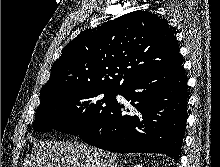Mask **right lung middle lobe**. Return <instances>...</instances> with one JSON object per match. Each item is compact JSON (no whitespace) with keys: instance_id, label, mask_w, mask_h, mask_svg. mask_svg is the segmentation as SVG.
<instances>
[{"instance_id":"right-lung-middle-lobe-1","label":"right lung middle lobe","mask_w":220,"mask_h":167,"mask_svg":"<svg viewBox=\"0 0 220 167\" xmlns=\"http://www.w3.org/2000/svg\"><path fill=\"white\" fill-rule=\"evenodd\" d=\"M118 90L84 87L61 92L42 101L36 110L33 129H56L80 135L94 126L112 107Z\"/></svg>"}]
</instances>
